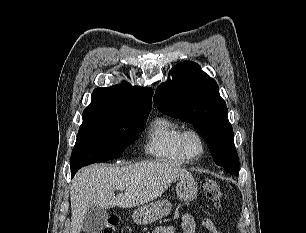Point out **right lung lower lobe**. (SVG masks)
<instances>
[{"instance_id":"1","label":"right lung lower lobe","mask_w":306,"mask_h":233,"mask_svg":"<svg viewBox=\"0 0 306 233\" xmlns=\"http://www.w3.org/2000/svg\"><path fill=\"white\" fill-rule=\"evenodd\" d=\"M75 173H76V172H75ZM75 173H74V172H71V175L74 176Z\"/></svg>"}]
</instances>
